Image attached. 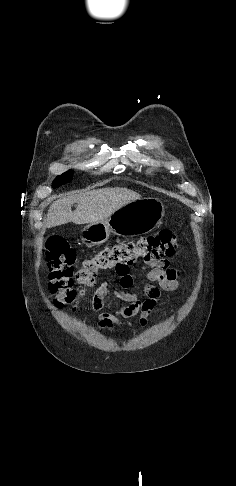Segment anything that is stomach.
<instances>
[{
	"instance_id": "1",
	"label": "stomach",
	"mask_w": 236,
	"mask_h": 486,
	"mask_svg": "<svg viewBox=\"0 0 236 486\" xmlns=\"http://www.w3.org/2000/svg\"><path fill=\"white\" fill-rule=\"evenodd\" d=\"M164 214L165 207L160 199L140 198L122 206L106 220L85 226L81 240L92 247L107 241L111 233L119 236L146 234L162 222Z\"/></svg>"
}]
</instances>
